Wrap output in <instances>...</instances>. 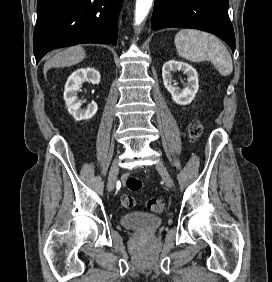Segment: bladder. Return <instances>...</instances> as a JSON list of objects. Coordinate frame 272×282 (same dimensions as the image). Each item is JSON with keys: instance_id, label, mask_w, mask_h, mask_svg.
Here are the masks:
<instances>
[{"instance_id": "bladder-1", "label": "bladder", "mask_w": 272, "mask_h": 282, "mask_svg": "<svg viewBox=\"0 0 272 282\" xmlns=\"http://www.w3.org/2000/svg\"><path fill=\"white\" fill-rule=\"evenodd\" d=\"M121 224L140 233L153 232L162 224V218L153 214L132 212L120 218Z\"/></svg>"}]
</instances>
